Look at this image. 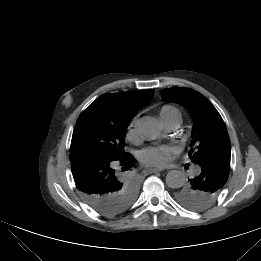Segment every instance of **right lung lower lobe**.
I'll return each mask as SVG.
<instances>
[{
    "label": "right lung lower lobe",
    "instance_id": "obj_1",
    "mask_svg": "<svg viewBox=\"0 0 261 261\" xmlns=\"http://www.w3.org/2000/svg\"><path fill=\"white\" fill-rule=\"evenodd\" d=\"M70 161L76 187L89 206L108 217L126 210L117 194L127 177L116 168L120 163L122 171L129 170L135 163L132 156L109 160L86 151H73Z\"/></svg>",
    "mask_w": 261,
    "mask_h": 261
}]
</instances>
